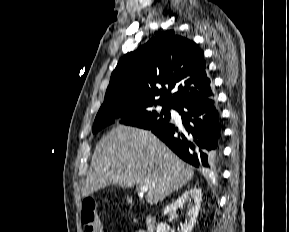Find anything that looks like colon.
Listing matches in <instances>:
<instances>
[{"mask_svg":"<svg viewBox=\"0 0 289 232\" xmlns=\"http://www.w3.org/2000/svg\"><path fill=\"white\" fill-rule=\"evenodd\" d=\"M83 232H101L96 212V202L92 198L84 200L81 210Z\"/></svg>","mask_w":289,"mask_h":232,"instance_id":"colon-1","label":"colon"}]
</instances>
